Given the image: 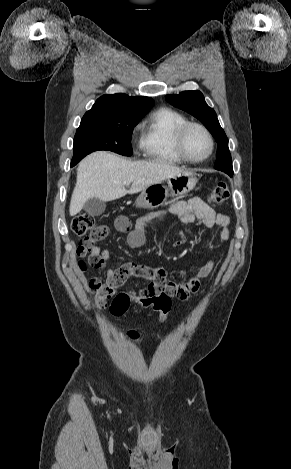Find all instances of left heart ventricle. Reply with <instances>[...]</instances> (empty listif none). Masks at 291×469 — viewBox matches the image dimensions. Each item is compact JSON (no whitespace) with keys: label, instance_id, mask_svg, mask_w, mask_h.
Wrapping results in <instances>:
<instances>
[{"label":"left heart ventricle","instance_id":"1","mask_svg":"<svg viewBox=\"0 0 291 469\" xmlns=\"http://www.w3.org/2000/svg\"><path fill=\"white\" fill-rule=\"evenodd\" d=\"M185 146L188 154L193 158L205 156L210 148L206 134L197 127H193L188 131Z\"/></svg>","mask_w":291,"mask_h":469}]
</instances>
